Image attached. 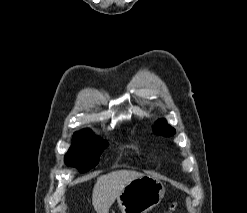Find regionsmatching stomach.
I'll return each mask as SVG.
<instances>
[{
    "mask_svg": "<svg viewBox=\"0 0 247 213\" xmlns=\"http://www.w3.org/2000/svg\"><path fill=\"white\" fill-rule=\"evenodd\" d=\"M165 194L163 183L144 175L128 183L117 197L121 213H147L156 207Z\"/></svg>",
    "mask_w": 247,
    "mask_h": 213,
    "instance_id": "stomach-1",
    "label": "stomach"
}]
</instances>
